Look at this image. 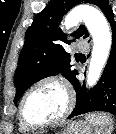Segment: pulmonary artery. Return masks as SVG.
Instances as JSON below:
<instances>
[{
	"instance_id": "e3ab8cb5",
	"label": "pulmonary artery",
	"mask_w": 116,
	"mask_h": 134,
	"mask_svg": "<svg viewBox=\"0 0 116 134\" xmlns=\"http://www.w3.org/2000/svg\"><path fill=\"white\" fill-rule=\"evenodd\" d=\"M74 50L76 52H84L88 50V44L84 41H79L75 44Z\"/></svg>"
}]
</instances>
